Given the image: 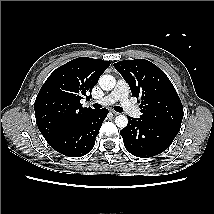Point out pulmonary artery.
Instances as JSON below:
<instances>
[{"label": "pulmonary artery", "instance_id": "1", "mask_svg": "<svg viewBox=\"0 0 214 214\" xmlns=\"http://www.w3.org/2000/svg\"><path fill=\"white\" fill-rule=\"evenodd\" d=\"M129 86L120 79L117 81L115 88L111 93L101 98L98 102L102 105H111L117 101L120 102L122 108L132 117L141 115L140 109L129 99Z\"/></svg>", "mask_w": 214, "mask_h": 214}]
</instances>
